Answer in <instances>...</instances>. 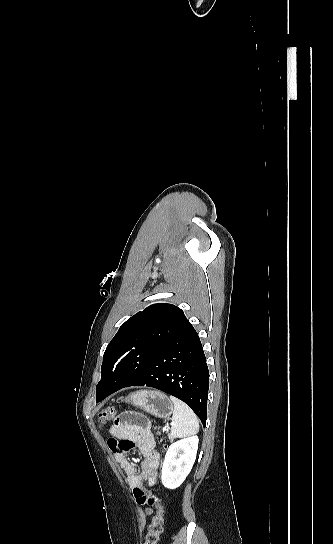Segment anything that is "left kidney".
<instances>
[{"label":"left kidney","mask_w":333,"mask_h":544,"mask_svg":"<svg viewBox=\"0 0 333 544\" xmlns=\"http://www.w3.org/2000/svg\"><path fill=\"white\" fill-rule=\"evenodd\" d=\"M198 436L173 442L167 450L162 466V484L168 489L179 487L190 473L198 449Z\"/></svg>","instance_id":"obj_1"}]
</instances>
